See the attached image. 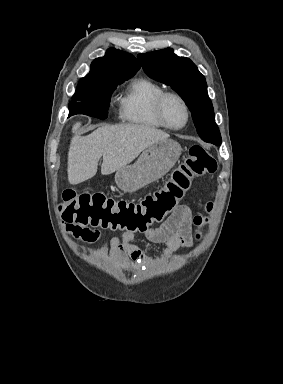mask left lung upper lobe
<instances>
[{
  "mask_svg": "<svg viewBox=\"0 0 283 384\" xmlns=\"http://www.w3.org/2000/svg\"><path fill=\"white\" fill-rule=\"evenodd\" d=\"M138 59L149 77L171 86L183 98L201 139L220 145L207 83L197 66L188 58L176 56L171 48L139 54Z\"/></svg>",
  "mask_w": 283,
  "mask_h": 384,
  "instance_id": "left-lung-upper-lobe-1",
  "label": "left lung upper lobe"
}]
</instances>
